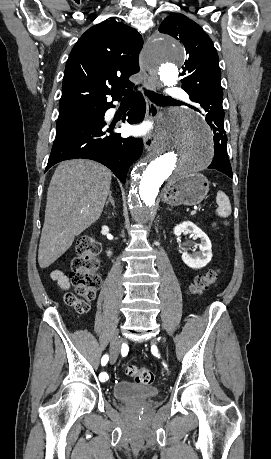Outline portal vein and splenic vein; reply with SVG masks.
<instances>
[{
	"label": "portal vein and splenic vein",
	"mask_w": 271,
	"mask_h": 459,
	"mask_svg": "<svg viewBox=\"0 0 271 459\" xmlns=\"http://www.w3.org/2000/svg\"><path fill=\"white\" fill-rule=\"evenodd\" d=\"M193 211H194V212H191V213H190L191 216H194V214H196V212H195L196 210L194 209Z\"/></svg>",
	"instance_id": "obj_1"
}]
</instances>
